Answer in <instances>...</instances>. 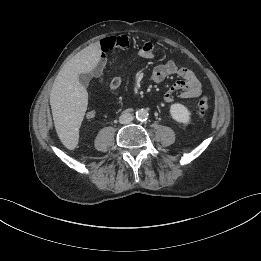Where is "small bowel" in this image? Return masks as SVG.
Wrapping results in <instances>:
<instances>
[{
	"instance_id": "small-bowel-1",
	"label": "small bowel",
	"mask_w": 261,
	"mask_h": 261,
	"mask_svg": "<svg viewBox=\"0 0 261 261\" xmlns=\"http://www.w3.org/2000/svg\"><path fill=\"white\" fill-rule=\"evenodd\" d=\"M130 47V40L126 35H112L103 38L100 41L101 56L98 64L94 70L95 77H100L104 64L105 55L114 50H126ZM137 55L142 58L151 59L156 55V46L152 41H145L137 48ZM176 75L180 78L172 87L166 92L164 100L167 103L173 101L175 94H178L182 99H192L200 96L202 92L201 83L194 74V72L184 66L179 65L175 60H169L166 63L156 66L152 73L151 79L155 83H162L168 77ZM122 83L121 76H115L109 83L111 90H117ZM87 119L91 120L95 117L94 111H88Z\"/></svg>"
}]
</instances>
